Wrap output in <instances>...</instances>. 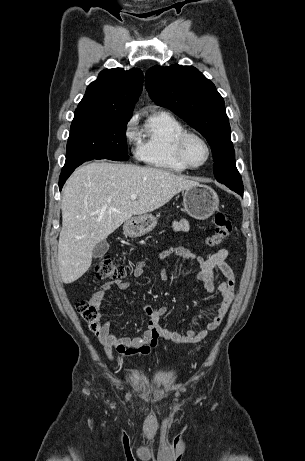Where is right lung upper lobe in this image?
Instances as JSON below:
<instances>
[{
    "mask_svg": "<svg viewBox=\"0 0 305 461\" xmlns=\"http://www.w3.org/2000/svg\"><path fill=\"white\" fill-rule=\"evenodd\" d=\"M142 86L143 73L137 68L105 69L87 87L75 112L131 118Z\"/></svg>",
    "mask_w": 305,
    "mask_h": 461,
    "instance_id": "obj_1",
    "label": "right lung upper lobe"
}]
</instances>
